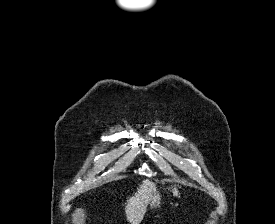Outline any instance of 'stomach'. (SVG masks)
<instances>
[{"instance_id": "0dacf381", "label": "stomach", "mask_w": 275, "mask_h": 224, "mask_svg": "<svg viewBox=\"0 0 275 224\" xmlns=\"http://www.w3.org/2000/svg\"><path fill=\"white\" fill-rule=\"evenodd\" d=\"M172 191L177 192V189L175 187H173ZM160 201H161V196L155 189L153 191V194H152L151 199H150V203H149L150 208L153 209V208L159 207Z\"/></svg>"}]
</instances>
